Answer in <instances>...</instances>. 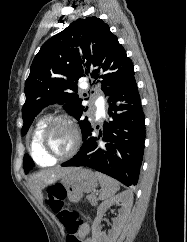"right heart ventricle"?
I'll list each match as a JSON object with an SVG mask.
<instances>
[{
	"label": "right heart ventricle",
	"mask_w": 187,
	"mask_h": 242,
	"mask_svg": "<svg viewBox=\"0 0 187 242\" xmlns=\"http://www.w3.org/2000/svg\"><path fill=\"white\" fill-rule=\"evenodd\" d=\"M46 123H47V118H42L41 120H39V122L37 123V125L32 133L31 143H30L31 156L35 160V162L37 164H39L40 166H50L55 163L54 160L44 156L39 147L40 134H41L44 126L46 125Z\"/></svg>",
	"instance_id": "obj_1"
}]
</instances>
